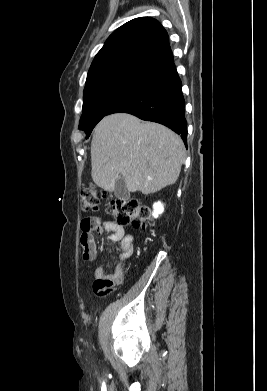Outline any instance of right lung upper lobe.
I'll list each match as a JSON object with an SVG mask.
<instances>
[{"label":"right lung upper lobe","instance_id":"cb5924a9","mask_svg":"<svg viewBox=\"0 0 267 391\" xmlns=\"http://www.w3.org/2000/svg\"><path fill=\"white\" fill-rule=\"evenodd\" d=\"M174 63L168 35L155 19H133L106 40L95 56L86 82L115 72L153 75Z\"/></svg>","mask_w":267,"mask_h":391}]
</instances>
